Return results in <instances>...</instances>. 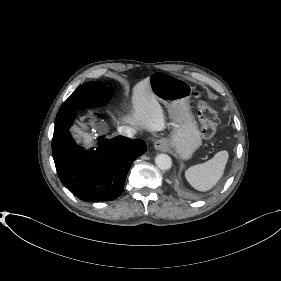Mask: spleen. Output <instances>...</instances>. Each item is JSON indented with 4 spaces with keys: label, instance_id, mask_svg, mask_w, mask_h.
<instances>
[{
    "label": "spleen",
    "instance_id": "spleen-1",
    "mask_svg": "<svg viewBox=\"0 0 281 281\" xmlns=\"http://www.w3.org/2000/svg\"><path fill=\"white\" fill-rule=\"evenodd\" d=\"M228 157V152L224 150L207 162L191 166L185 172L187 181L199 191L210 190L222 177Z\"/></svg>",
    "mask_w": 281,
    "mask_h": 281
}]
</instances>
